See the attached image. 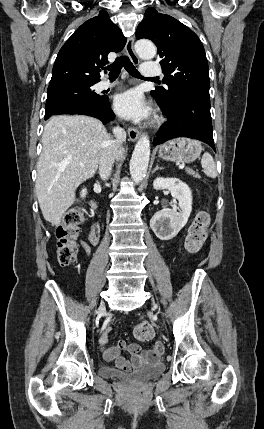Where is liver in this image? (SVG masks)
<instances>
[{
    "mask_svg": "<svg viewBox=\"0 0 264 429\" xmlns=\"http://www.w3.org/2000/svg\"><path fill=\"white\" fill-rule=\"evenodd\" d=\"M111 136L96 118L52 117L44 127L37 163L36 195L43 217L58 226L75 201L78 186L92 178ZM124 156V149L118 158ZM81 164L83 167H81Z\"/></svg>",
    "mask_w": 264,
    "mask_h": 429,
    "instance_id": "6515ba94",
    "label": "liver"
}]
</instances>
